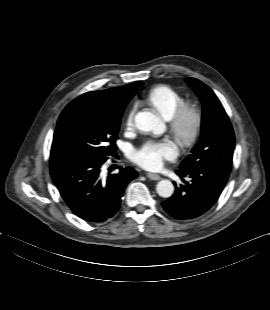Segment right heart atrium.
<instances>
[{
	"instance_id": "obj_1",
	"label": "right heart atrium",
	"mask_w": 270,
	"mask_h": 310,
	"mask_svg": "<svg viewBox=\"0 0 270 310\" xmlns=\"http://www.w3.org/2000/svg\"><path fill=\"white\" fill-rule=\"evenodd\" d=\"M135 112H136V106H133L127 114V117L125 120V126L128 129L133 127Z\"/></svg>"
}]
</instances>
